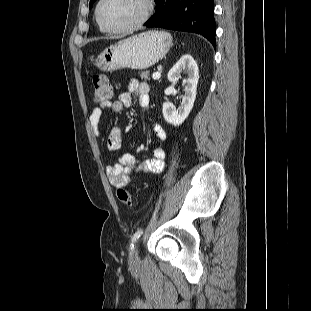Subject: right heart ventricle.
<instances>
[{
    "label": "right heart ventricle",
    "mask_w": 311,
    "mask_h": 311,
    "mask_svg": "<svg viewBox=\"0 0 311 311\" xmlns=\"http://www.w3.org/2000/svg\"><path fill=\"white\" fill-rule=\"evenodd\" d=\"M99 30H100V32H102V33H105V32H106L101 26H99Z\"/></svg>",
    "instance_id": "obj_1"
}]
</instances>
